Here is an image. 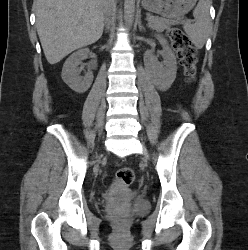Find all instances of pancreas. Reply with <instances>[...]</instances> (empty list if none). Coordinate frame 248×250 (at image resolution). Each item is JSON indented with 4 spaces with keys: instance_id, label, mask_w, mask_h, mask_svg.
<instances>
[{
    "instance_id": "pancreas-1",
    "label": "pancreas",
    "mask_w": 248,
    "mask_h": 250,
    "mask_svg": "<svg viewBox=\"0 0 248 250\" xmlns=\"http://www.w3.org/2000/svg\"><path fill=\"white\" fill-rule=\"evenodd\" d=\"M172 23L169 20L155 17L154 20L149 21L148 26L157 31H164L170 28Z\"/></svg>"
}]
</instances>
